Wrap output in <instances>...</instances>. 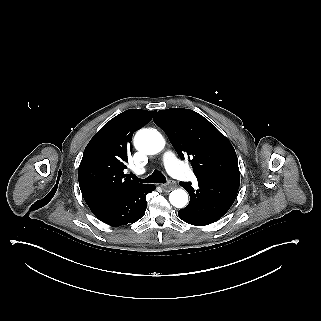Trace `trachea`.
Listing matches in <instances>:
<instances>
[{"instance_id": "1", "label": "trachea", "mask_w": 321, "mask_h": 321, "mask_svg": "<svg viewBox=\"0 0 321 321\" xmlns=\"http://www.w3.org/2000/svg\"><path fill=\"white\" fill-rule=\"evenodd\" d=\"M131 177L134 180H137L142 183H165L166 182L165 176L157 169H155L154 172L148 178H146L144 180L138 179L135 174H131Z\"/></svg>"}]
</instances>
